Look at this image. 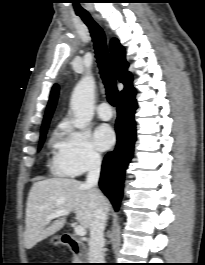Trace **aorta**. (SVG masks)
<instances>
[{
  "mask_svg": "<svg viewBox=\"0 0 205 265\" xmlns=\"http://www.w3.org/2000/svg\"><path fill=\"white\" fill-rule=\"evenodd\" d=\"M95 80L87 74L78 82L71 96L70 106L73 111V124L82 129L88 126L93 117Z\"/></svg>",
  "mask_w": 205,
  "mask_h": 265,
  "instance_id": "obj_1",
  "label": "aorta"
}]
</instances>
